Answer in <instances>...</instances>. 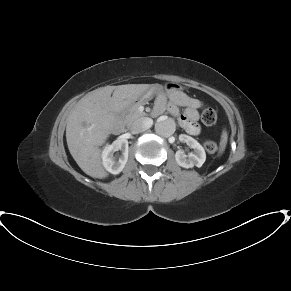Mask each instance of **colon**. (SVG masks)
<instances>
[{"label": "colon", "instance_id": "5ec220e1", "mask_svg": "<svg viewBox=\"0 0 291 291\" xmlns=\"http://www.w3.org/2000/svg\"><path fill=\"white\" fill-rule=\"evenodd\" d=\"M201 120H202L203 124L206 126L215 125L217 122L216 111L212 108H207V109L203 110L202 114H201ZM204 147H205V150L210 154L215 153L218 149L217 144L213 141H210V140L205 141Z\"/></svg>", "mask_w": 291, "mask_h": 291}]
</instances>
